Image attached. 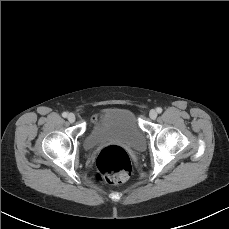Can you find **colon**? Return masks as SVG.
Instances as JSON below:
<instances>
[{
	"instance_id": "5ec220e1",
	"label": "colon",
	"mask_w": 229,
	"mask_h": 229,
	"mask_svg": "<svg viewBox=\"0 0 229 229\" xmlns=\"http://www.w3.org/2000/svg\"><path fill=\"white\" fill-rule=\"evenodd\" d=\"M96 164L98 178L111 183L125 181L131 172V161L127 152L117 145L103 148L97 156Z\"/></svg>"
}]
</instances>
